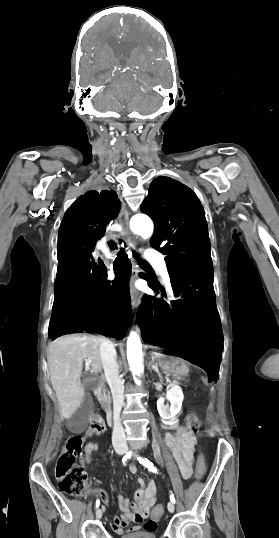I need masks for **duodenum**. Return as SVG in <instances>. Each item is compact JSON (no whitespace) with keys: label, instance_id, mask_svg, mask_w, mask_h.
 <instances>
[{"label":"duodenum","instance_id":"duodenum-1","mask_svg":"<svg viewBox=\"0 0 279 538\" xmlns=\"http://www.w3.org/2000/svg\"><path fill=\"white\" fill-rule=\"evenodd\" d=\"M106 386H107V383H106L105 381H102V382H100V386L98 387V390H99L100 392H103V391L105 390V387H106ZM105 405H106L107 407H110V406L112 405V402H111L110 400H107V401L105 402ZM106 413H107V414H106V417H107V418L105 419V422L107 423V424H106V427H107L108 429H111V428L113 427V424H112L113 419H112V417H113L114 410H113L112 408H108V409L106 410Z\"/></svg>","mask_w":279,"mask_h":538}]
</instances>
